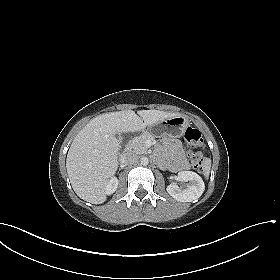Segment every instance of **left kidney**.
<instances>
[{"label": "left kidney", "mask_w": 280, "mask_h": 280, "mask_svg": "<svg viewBox=\"0 0 280 280\" xmlns=\"http://www.w3.org/2000/svg\"><path fill=\"white\" fill-rule=\"evenodd\" d=\"M178 179L181 182L190 184L185 188L179 187L176 183H171L167 186V192L177 201L191 202L198 199L205 190V184L202 178L192 171H181L178 173Z\"/></svg>", "instance_id": "1"}]
</instances>
